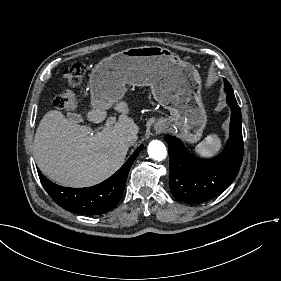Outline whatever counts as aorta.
Wrapping results in <instances>:
<instances>
[{"label": "aorta", "mask_w": 281, "mask_h": 281, "mask_svg": "<svg viewBox=\"0 0 281 281\" xmlns=\"http://www.w3.org/2000/svg\"><path fill=\"white\" fill-rule=\"evenodd\" d=\"M149 157L155 161H162L167 156V150L165 145L159 140H153L148 146Z\"/></svg>", "instance_id": "1"}]
</instances>
